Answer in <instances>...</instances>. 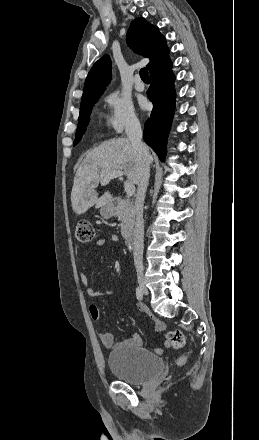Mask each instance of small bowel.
<instances>
[{
	"label": "small bowel",
	"mask_w": 259,
	"mask_h": 440,
	"mask_svg": "<svg viewBox=\"0 0 259 440\" xmlns=\"http://www.w3.org/2000/svg\"><path fill=\"white\" fill-rule=\"evenodd\" d=\"M111 240L113 242H118L119 241V237L114 234V235L111 236ZM105 242H106L105 239H98L95 242V245L101 246V245H104ZM80 282L83 285V287L85 288L86 294L89 297H91V298H94V297H97V296H100V295H103V294H111L112 293L111 291H97V290H95L89 284L88 278H87V276L83 272L80 273ZM139 308H140V310L142 312L146 313L147 316L150 318V320L153 322V325H154V328H155L156 331L160 332V331L164 330L165 325H164V323L162 321H160L154 315H152L146 307L140 305ZM89 314H90L92 319L97 320L99 318V309H98V307L96 305H94V304H91L89 306ZM98 337H99L100 342L106 348H111V347L114 346V337H113V335L111 333L99 332L98 333ZM141 342L142 341H141L140 336L137 335V334H134L131 338H129V339H127V340L117 344V346H119V347H122V346H139L141 344ZM154 351L156 353H162L163 349L162 348H155Z\"/></svg>",
	"instance_id": "obj_1"
}]
</instances>
